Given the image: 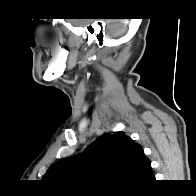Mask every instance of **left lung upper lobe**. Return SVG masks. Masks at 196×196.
I'll return each mask as SVG.
<instances>
[{
	"instance_id": "5c2ea615",
	"label": "left lung upper lobe",
	"mask_w": 196,
	"mask_h": 196,
	"mask_svg": "<svg viewBox=\"0 0 196 196\" xmlns=\"http://www.w3.org/2000/svg\"><path fill=\"white\" fill-rule=\"evenodd\" d=\"M147 161L141 145L119 131L102 135L81 154L55 163L42 180L60 186L86 182L133 184Z\"/></svg>"
}]
</instances>
